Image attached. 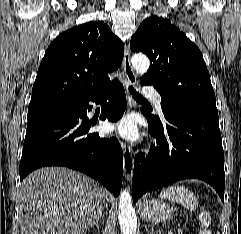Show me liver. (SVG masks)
<instances>
[{"label":"liver","instance_id":"liver-1","mask_svg":"<svg viewBox=\"0 0 241 234\" xmlns=\"http://www.w3.org/2000/svg\"><path fill=\"white\" fill-rule=\"evenodd\" d=\"M107 190L82 173L45 167L19 189L21 234H83L101 212Z\"/></svg>","mask_w":241,"mask_h":234}]
</instances>
